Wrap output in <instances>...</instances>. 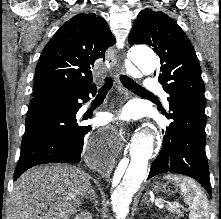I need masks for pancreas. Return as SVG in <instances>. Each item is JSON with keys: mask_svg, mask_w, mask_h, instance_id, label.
<instances>
[{"mask_svg": "<svg viewBox=\"0 0 221 219\" xmlns=\"http://www.w3.org/2000/svg\"><path fill=\"white\" fill-rule=\"evenodd\" d=\"M166 209H167L170 213H173V214L178 215V217H183V216H184L183 212H181V211H180L178 208H176V207L167 206Z\"/></svg>", "mask_w": 221, "mask_h": 219, "instance_id": "1", "label": "pancreas"}]
</instances>
